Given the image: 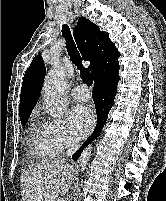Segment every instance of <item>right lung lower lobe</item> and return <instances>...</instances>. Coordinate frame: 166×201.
<instances>
[{
    "instance_id": "right-lung-lower-lobe-1",
    "label": "right lung lower lobe",
    "mask_w": 166,
    "mask_h": 201,
    "mask_svg": "<svg viewBox=\"0 0 166 201\" xmlns=\"http://www.w3.org/2000/svg\"><path fill=\"white\" fill-rule=\"evenodd\" d=\"M119 68L118 63L109 64L94 78L95 86L93 89V99L97 112V125L93 134L72 156L74 161H77L83 149L99 136L107 120L108 112L112 107L117 92Z\"/></svg>"
}]
</instances>
